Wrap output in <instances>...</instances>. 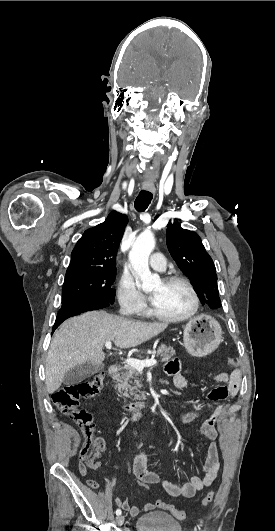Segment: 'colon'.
I'll use <instances>...</instances> for the list:
<instances>
[{
  "instance_id": "obj_1",
  "label": "colon",
  "mask_w": 275,
  "mask_h": 531,
  "mask_svg": "<svg viewBox=\"0 0 275 531\" xmlns=\"http://www.w3.org/2000/svg\"><path fill=\"white\" fill-rule=\"evenodd\" d=\"M228 364L232 367L238 365V361L234 357L228 358ZM104 376L101 373L95 374L87 379H82L71 383L64 388L59 389L54 393L53 403L58 410L69 416L80 427L83 435V444L80 449V463L79 470L85 473L87 466H99L98 457L103 451L104 442L95 438V424L93 422V414L86 409L80 408V400L93 397L97 395L103 385ZM88 485L96 488L95 480L89 479ZM144 487L143 491L149 490V485L139 483ZM215 499L213 491L208 492L202 499L203 507L210 505ZM158 509L168 511L176 518L183 521L185 512L177 509L172 504L164 501H157Z\"/></svg>"
}]
</instances>
